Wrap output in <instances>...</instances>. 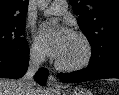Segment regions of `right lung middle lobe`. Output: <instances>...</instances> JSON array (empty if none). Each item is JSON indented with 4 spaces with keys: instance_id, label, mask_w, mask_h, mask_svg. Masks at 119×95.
Returning <instances> with one entry per match:
<instances>
[{
    "instance_id": "dd1d6c3e",
    "label": "right lung middle lobe",
    "mask_w": 119,
    "mask_h": 95,
    "mask_svg": "<svg viewBox=\"0 0 119 95\" xmlns=\"http://www.w3.org/2000/svg\"><path fill=\"white\" fill-rule=\"evenodd\" d=\"M24 32L25 21L0 25V50L20 49L27 43Z\"/></svg>"
}]
</instances>
